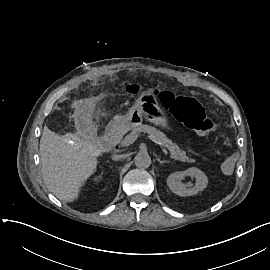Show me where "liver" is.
Segmentation results:
<instances>
[{
	"instance_id": "obj_1",
	"label": "liver",
	"mask_w": 270,
	"mask_h": 270,
	"mask_svg": "<svg viewBox=\"0 0 270 270\" xmlns=\"http://www.w3.org/2000/svg\"><path fill=\"white\" fill-rule=\"evenodd\" d=\"M42 178L48 189L60 200L73 201L79 188L96 170L97 148L81 143H69L44 126L40 139Z\"/></svg>"
}]
</instances>
